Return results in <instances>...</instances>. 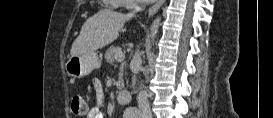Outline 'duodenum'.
Returning a JSON list of instances; mask_svg holds the SVG:
<instances>
[{
	"mask_svg": "<svg viewBox=\"0 0 273 118\" xmlns=\"http://www.w3.org/2000/svg\"><path fill=\"white\" fill-rule=\"evenodd\" d=\"M117 100L121 104H127L132 100V94L130 91L122 89L117 94Z\"/></svg>",
	"mask_w": 273,
	"mask_h": 118,
	"instance_id": "duodenum-1",
	"label": "duodenum"
}]
</instances>
